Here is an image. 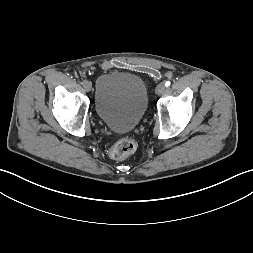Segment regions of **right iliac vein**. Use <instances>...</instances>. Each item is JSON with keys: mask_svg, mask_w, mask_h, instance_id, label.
Instances as JSON below:
<instances>
[{"mask_svg": "<svg viewBox=\"0 0 253 253\" xmlns=\"http://www.w3.org/2000/svg\"><path fill=\"white\" fill-rule=\"evenodd\" d=\"M83 88H84V90H85L86 92H90L91 89H92V85H91V83H90L89 81H86V82L84 83V85H83Z\"/></svg>", "mask_w": 253, "mask_h": 253, "instance_id": "right-iliac-vein-1", "label": "right iliac vein"}]
</instances>
